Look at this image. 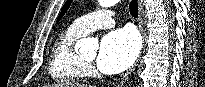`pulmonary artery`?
<instances>
[{
  "instance_id": "e3ab8cb5",
  "label": "pulmonary artery",
  "mask_w": 205,
  "mask_h": 87,
  "mask_svg": "<svg viewBox=\"0 0 205 87\" xmlns=\"http://www.w3.org/2000/svg\"><path fill=\"white\" fill-rule=\"evenodd\" d=\"M115 24L112 11L103 9L88 13L72 23V27L83 34H89L97 29H105Z\"/></svg>"
}]
</instances>
